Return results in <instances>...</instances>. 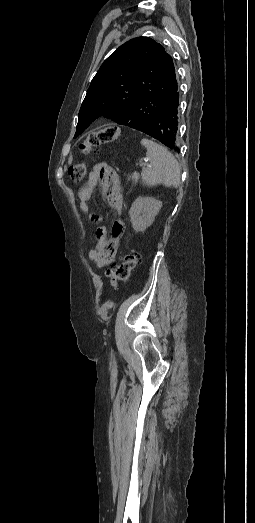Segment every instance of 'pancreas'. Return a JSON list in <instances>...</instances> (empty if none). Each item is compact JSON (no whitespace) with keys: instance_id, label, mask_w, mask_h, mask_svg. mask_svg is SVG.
I'll return each mask as SVG.
<instances>
[{"instance_id":"pancreas-1","label":"pancreas","mask_w":255,"mask_h":523,"mask_svg":"<svg viewBox=\"0 0 255 523\" xmlns=\"http://www.w3.org/2000/svg\"><path fill=\"white\" fill-rule=\"evenodd\" d=\"M129 178H132L134 184H137L139 176L138 174H136V172H134V174H132V176H129Z\"/></svg>"}]
</instances>
